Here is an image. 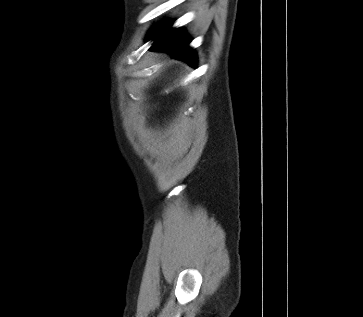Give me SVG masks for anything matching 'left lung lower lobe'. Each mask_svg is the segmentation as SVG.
Segmentation results:
<instances>
[{"mask_svg":"<svg viewBox=\"0 0 363 317\" xmlns=\"http://www.w3.org/2000/svg\"><path fill=\"white\" fill-rule=\"evenodd\" d=\"M172 22H164L151 32L149 40L156 38L150 50H164L174 57L186 61L191 66H196V56L188 47L190 39L181 29H169Z\"/></svg>","mask_w":363,"mask_h":317,"instance_id":"0a47b994","label":"left lung lower lobe"}]
</instances>
